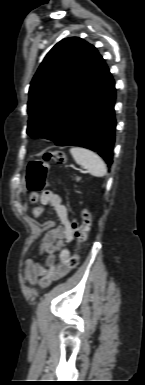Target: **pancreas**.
Segmentation results:
<instances>
[{"label": "pancreas", "instance_id": "cf45deb5", "mask_svg": "<svg viewBox=\"0 0 145 385\" xmlns=\"http://www.w3.org/2000/svg\"><path fill=\"white\" fill-rule=\"evenodd\" d=\"M79 180H80L79 178L76 179V181H79Z\"/></svg>", "mask_w": 145, "mask_h": 385}]
</instances>
